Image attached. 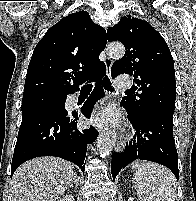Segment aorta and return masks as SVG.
<instances>
[{"instance_id": "obj_1", "label": "aorta", "mask_w": 196, "mask_h": 201, "mask_svg": "<svg viewBox=\"0 0 196 201\" xmlns=\"http://www.w3.org/2000/svg\"><path fill=\"white\" fill-rule=\"evenodd\" d=\"M107 53L112 58H122L125 54V47L120 44H110ZM116 143V136L113 132L102 135L97 142V152L100 157L108 156Z\"/></svg>"}]
</instances>
